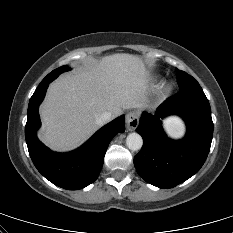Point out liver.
I'll use <instances>...</instances> for the list:
<instances>
[{
  "instance_id": "liver-1",
  "label": "liver",
  "mask_w": 233,
  "mask_h": 233,
  "mask_svg": "<svg viewBox=\"0 0 233 233\" xmlns=\"http://www.w3.org/2000/svg\"><path fill=\"white\" fill-rule=\"evenodd\" d=\"M149 73L136 55L118 53L94 60L60 76L48 88L40 107L42 142L55 151L78 147L99 127L96 118L143 106Z\"/></svg>"
}]
</instances>
